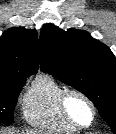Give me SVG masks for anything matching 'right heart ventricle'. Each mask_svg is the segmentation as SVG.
Here are the masks:
<instances>
[{"instance_id":"1","label":"right heart ventricle","mask_w":116,"mask_h":134,"mask_svg":"<svg viewBox=\"0 0 116 134\" xmlns=\"http://www.w3.org/2000/svg\"><path fill=\"white\" fill-rule=\"evenodd\" d=\"M64 87L48 74H38L22 97L21 108L25 121L40 129L58 133L78 130L62 116L58 99Z\"/></svg>"}]
</instances>
